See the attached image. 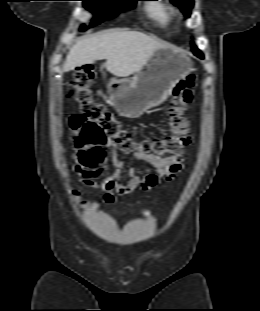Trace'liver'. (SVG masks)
Returning <instances> with one entry per match:
<instances>
[{
  "label": "liver",
  "mask_w": 260,
  "mask_h": 311,
  "mask_svg": "<svg viewBox=\"0 0 260 311\" xmlns=\"http://www.w3.org/2000/svg\"><path fill=\"white\" fill-rule=\"evenodd\" d=\"M149 35L138 31L116 30L84 38L73 45L63 65L64 71L93 64L106 59L107 71L117 77H127L138 72L152 52L167 47Z\"/></svg>",
  "instance_id": "obj_1"
}]
</instances>
